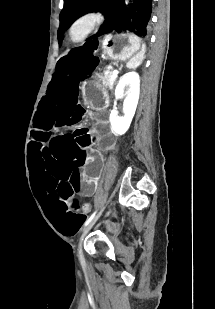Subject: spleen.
<instances>
[{
	"mask_svg": "<svg viewBox=\"0 0 215 309\" xmlns=\"http://www.w3.org/2000/svg\"><path fill=\"white\" fill-rule=\"evenodd\" d=\"M145 44H142V48L140 50V52H137V54H135V56H132V58H130V60H128L126 66L127 68H137V66H139V64H141V62H143L144 58H145Z\"/></svg>",
	"mask_w": 215,
	"mask_h": 309,
	"instance_id": "3e777b00",
	"label": "spleen"
}]
</instances>
